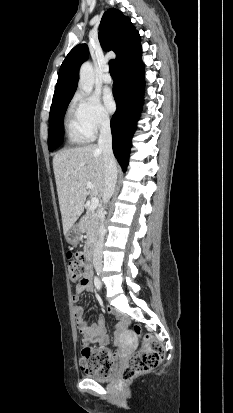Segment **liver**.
<instances>
[{"label":"liver","instance_id":"liver-1","mask_svg":"<svg viewBox=\"0 0 233 413\" xmlns=\"http://www.w3.org/2000/svg\"><path fill=\"white\" fill-rule=\"evenodd\" d=\"M53 170L66 236L81 215L89 192L94 197L103 196V152L95 144L61 150L53 158ZM86 182H91L93 189L88 191Z\"/></svg>","mask_w":233,"mask_h":413}]
</instances>
